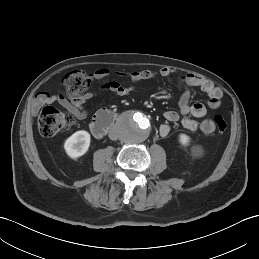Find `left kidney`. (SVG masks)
Returning a JSON list of instances; mask_svg holds the SVG:
<instances>
[{
	"instance_id": "1",
	"label": "left kidney",
	"mask_w": 259,
	"mask_h": 259,
	"mask_svg": "<svg viewBox=\"0 0 259 259\" xmlns=\"http://www.w3.org/2000/svg\"><path fill=\"white\" fill-rule=\"evenodd\" d=\"M190 137L186 134H180L179 135V142L183 145V146H187L190 143Z\"/></svg>"
}]
</instances>
